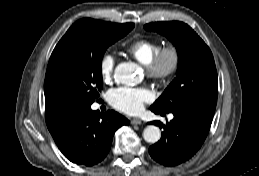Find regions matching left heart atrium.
Masks as SVG:
<instances>
[{
	"label": "left heart atrium",
	"mask_w": 259,
	"mask_h": 176,
	"mask_svg": "<svg viewBox=\"0 0 259 176\" xmlns=\"http://www.w3.org/2000/svg\"><path fill=\"white\" fill-rule=\"evenodd\" d=\"M153 95L147 88L118 87L109 93L110 104L126 114H138Z\"/></svg>",
	"instance_id": "39dd6f15"
}]
</instances>
